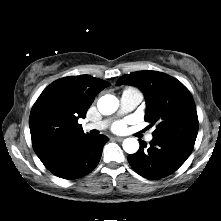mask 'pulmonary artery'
<instances>
[{"label": "pulmonary artery", "instance_id": "pulmonary-artery-1", "mask_svg": "<svg viewBox=\"0 0 221 221\" xmlns=\"http://www.w3.org/2000/svg\"><path fill=\"white\" fill-rule=\"evenodd\" d=\"M143 95L140 91L132 88L125 89L120 97V108L119 114H125L132 110H134L139 103L142 101ZM110 124V120H102L95 123H88L84 125V129L89 130H103L108 127ZM153 139L152 134H148L146 136L147 141H151Z\"/></svg>", "mask_w": 221, "mask_h": 221}]
</instances>
